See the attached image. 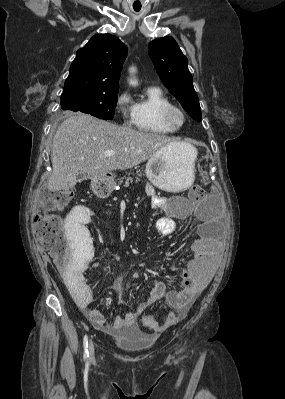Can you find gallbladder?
Instances as JSON below:
<instances>
[{
  "label": "gallbladder",
  "mask_w": 285,
  "mask_h": 399,
  "mask_svg": "<svg viewBox=\"0 0 285 399\" xmlns=\"http://www.w3.org/2000/svg\"><path fill=\"white\" fill-rule=\"evenodd\" d=\"M87 179V176L83 173H79L77 175V182H82L83 180Z\"/></svg>",
  "instance_id": "gallbladder-1"
}]
</instances>
